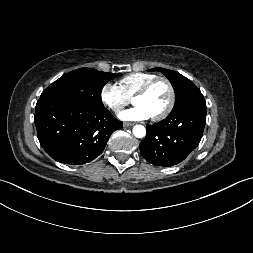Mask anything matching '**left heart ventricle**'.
<instances>
[{
    "mask_svg": "<svg viewBox=\"0 0 253 253\" xmlns=\"http://www.w3.org/2000/svg\"><path fill=\"white\" fill-rule=\"evenodd\" d=\"M170 98V93L167 85L160 81L157 82L150 91L140 97H136L133 102L143 106L151 117L161 113L167 106Z\"/></svg>",
    "mask_w": 253,
    "mask_h": 253,
    "instance_id": "left-heart-ventricle-1",
    "label": "left heart ventricle"
}]
</instances>
